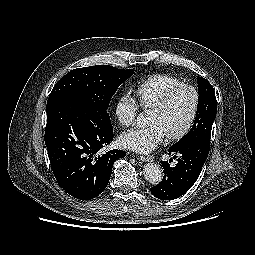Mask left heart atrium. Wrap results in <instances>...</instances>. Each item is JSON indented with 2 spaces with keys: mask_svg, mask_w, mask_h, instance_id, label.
<instances>
[{
  "mask_svg": "<svg viewBox=\"0 0 255 255\" xmlns=\"http://www.w3.org/2000/svg\"><path fill=\"white\" fill-rule=\"evenodd\" d=\"M165 132L158 124L146 128H132L119 136L123 148L137 153H148L156 148L165 138Z\"/></svg>",
  "mask_w": 255,
  "mask_h": 255,
  "instance_id": "obj_1",
  "label": "left heart atrium"
}]
</instances>
